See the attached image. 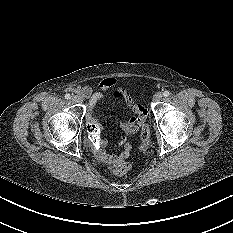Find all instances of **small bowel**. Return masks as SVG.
I'll return each instance as SVG.
<instances>
[{"instance_id": "small-bowel-1", "label": "small bowel", "mask_w": 233, "mask_h": 233, "mask_svg": "<svg viewBox=\"0 0 233 233\" xmlns=\"http://www.w3.org/2000/svg\"><path fill=\"white\" fill-rule=\"evenodd\" d=\"M117 83L118 81L116 78L108 77L100 81L99 91L94 92L90 86H77L75 87V92H77L82 97L89 98L90 107L93 108L96 104L103 100V92L115 88ZM114 96L123 100L135 113V116L131 117L127 122L120 123L119 127L121 131L124 134L135 133L144 123L146 110L140 104H137L133 100L131 94L125 89H117L114 92ZM90 122L96 124L100 130L97 116L90 114L88 117V123ZM120 143L123 145L121 152L119 154H109L106 150L107 142L102 138L100 130V141L98 146L95 147L96 158L109 168L118 167L124 164L125 159L131 152V146L130 144L125 143L124 136L120 137Z\"/></svg>"}]
</instances>
